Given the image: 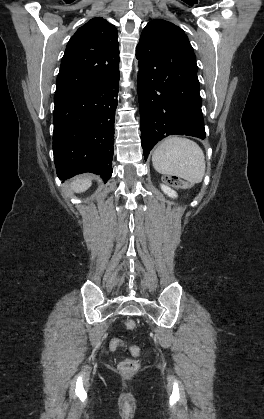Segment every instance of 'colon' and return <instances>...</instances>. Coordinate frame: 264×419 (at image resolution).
<instances>
[{"instance_id": "5ec220e1", "label": "colon", "mask_w": 264, "mask_h": 419, "mask_svg": "<svg viewBox=\"0 0 264 419\" xmlns=\"http://www.w3.org/2000/svg\"><path fill=\"white\" fill-rule=\"evenodd\" d=\"M167 182L176 187H186L187 184L178 177L171 176L167 177ZM126 328L129 330H133L136 328V322L134 320H128L126 322ZM123 345V342L120 340L116 346L119 348ZM130 352L133 356H139L141 354V349L138 346H130ZM120 372L123 374H131L135 372L138 368V361L136 359L128 358L120 362L118 366Z\"/></svg>"}]
</instances>
